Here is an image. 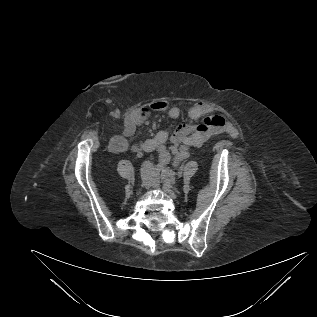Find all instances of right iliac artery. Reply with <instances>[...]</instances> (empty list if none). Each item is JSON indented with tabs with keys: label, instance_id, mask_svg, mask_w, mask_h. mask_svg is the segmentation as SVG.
Returning <instances> with one entry per match:
<instances>
[{
	"label": "right iliac artery",
	"instance_id": "82829eb1",
	"mask_svg": "<svg viewBox=\"0 0 317 317\" xmlns=\"http://www.w3.org/2000/svg\"><path fill=\"white\" fill-rule=\"evenodd\" d=\"M164 168H165V165L163 163H159L156 165V169L159 171L164 170Z\"/></svg>",
	"mask_w": 317,
	"mask_h": 317
}]
</instances>
